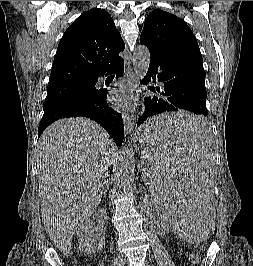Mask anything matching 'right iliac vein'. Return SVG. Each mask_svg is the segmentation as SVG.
<instances>
[{
  "instance_id": "obj_1",
  "label": "right iliac vein",
  "mask_w": 253,
  "mask_h": 266,
  "mask_svg": "<svg viewBox=\"0 0 253 266\" xmlns=\"http://www.w3.org/2000/svg\"><path fill=\"white\" fill-rule=\"evenodd\" d=\"M124 264H125L124 258L118 256V257L115 258L114 263H113L112 266H124Z\"/></svg>"
}]
</instances>
